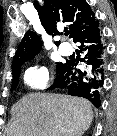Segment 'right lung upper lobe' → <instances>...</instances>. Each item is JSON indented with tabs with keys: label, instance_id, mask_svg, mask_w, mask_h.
Returning <instances> with one entry per match:
<instances>
[{
	"label": "right lung upper lobe",
	"instance_id": "right-lung-upper-lobe-1",
	"mask_svg": "<svg viewBox=\"0 0 117 136\" xmlns=\"http://www.w3.org/2000/svg\"><path fill=\"white\" fill-rule=\"evenodd\" d=\"M40 21L46 32L50 35H60L57 25L66 23L71 37L76 41L83 30L91 26L96 18L90 6L84 0H44L43 6L34 2ZM58 45V43H56ZM42 42L39 36L28 30L24 35L15 54L12 70L29 59L35 57L40 51Z\"/></svg>",
	"mask_w": 117,
	"mask_h": 136
}]
</instances>
